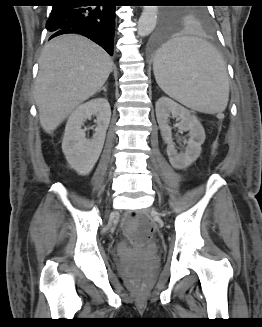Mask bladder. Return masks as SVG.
Returning <instances> with one entry per match:
<instances>
[{"mask_svg":"<svg viewBox=\"0 0 262 327\" xmlns=\"http://www.w3.org/2000/svg\"><path fill=\"white\" fill-rule=\"evenodd\" d=\"M139 258L134 254H129L127 257L123 258L119 262L121 269H129L138 264Z\"/></svg>","mask_w":262,"mask_h":327,"instance_id":"1","label":"bladder"}]
</instances>
